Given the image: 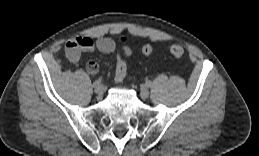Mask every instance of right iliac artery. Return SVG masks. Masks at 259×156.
<instances>
[{
  "mask_svg": "<svg viewBox=\"0 0 259 156\" xmlns=\"http://www.w3.org/2000/svg\"><path fill=\"white\" fill-rule=\"evenodd\" d=\"M101 84V80L100 79H98V80H96L94 83H93V87H97V86H99Z\"/></svg>",
  "mask_w": 259,
  "mask_h": 156,
  "instance_id": "1",
  "label": "right iliac artery"
}]
</instances>
